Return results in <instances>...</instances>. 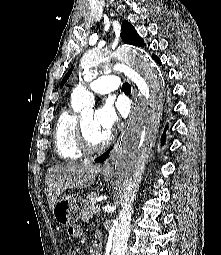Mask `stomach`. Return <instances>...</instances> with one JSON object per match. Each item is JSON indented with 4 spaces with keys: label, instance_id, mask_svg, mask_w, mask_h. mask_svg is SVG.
Instances as JSON below:
<instances>
[{
    "label": "stomach",
    "instance_id": "0dacf381",
    "mask_svg": "<svg viewBox=\"0 0 221 255\" xmlns=\"http://www.w3.org/2000/svg\"><path fill=\"white\" fill-rule=\"evenodd\" d=\"M111 175L105 174L107 181L111 180ZM83 201L78 195H63L52 207V215L61 226L74 225L80 218Z\"/></svg>",
    "mask_w": 221,
    "mask_h": 255
}]
</instances>
